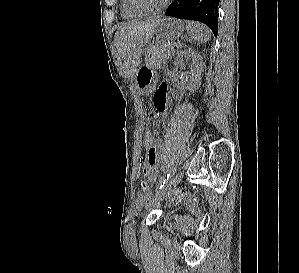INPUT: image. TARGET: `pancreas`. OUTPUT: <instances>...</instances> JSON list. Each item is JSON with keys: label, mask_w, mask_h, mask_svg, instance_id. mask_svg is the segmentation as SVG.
I'll list each match as a JSON object with an SVG mask.
<instances>
[{"label": "pancreas", "mask_w": 299, "mask_h": 273, "mask_svg": "<svg viewBox=\"0 0 299 273\" xmlns=\"http://www.w3.org/2000/svg\"><path fill=\"white\" fill-rule=\"evenodd\" d=\"M177 44H156L151 47L146 56V66L152 69H158L165 64L171 54L174 53Z\"/></svg>", "instance_id": "cf45deb5"}]
</instances>
